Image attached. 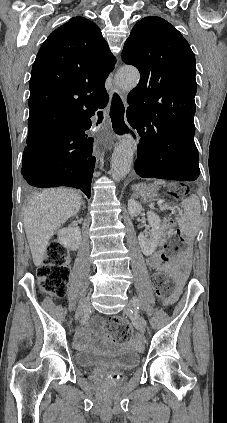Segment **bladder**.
I'll use <instances>...</instances> for the list:
<instances>
[{
	"instance_id": "bladder-1",
	"label": "bladder",
	"mask_w": 227,
	"mask_h": 423,
	"mask_svg": "<svg viewBox=\"0 0 227 423\" xmlns=\"http://www.w3.org/2000/svg\"><path fill=\"white\" fill-rule=\"evenodd\" d=\"M141 356L133 350L107 353L83 349L76 352V364L83 370L110 367L126 373L140 364Z\"/></svg>"
}]
</instances>
